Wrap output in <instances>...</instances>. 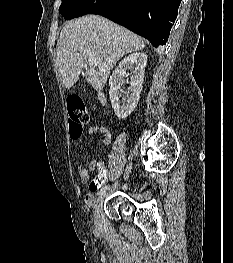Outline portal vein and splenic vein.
I'll list each match as a JSON object with an SVG mask.
<instances>
[{
	"mask_svg": "<svg viewBox=\"0 0 233 263\" xmlns=\"http://www.w3.org/2000/svg\"><path fill=\"white\" fill-rule=\"evenodd\" d=\"M88 62H89V65H91V66H97L98 65V62L95 58H90L88 60Z\"/></svg>",
	"mask_w": 233,
	"mask_h": 263,
	"instance_id": "portal-vein-and-splenic-vein-1",
	"label": "portal vein and splenic vein"
}]
</instances>
